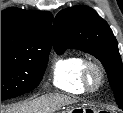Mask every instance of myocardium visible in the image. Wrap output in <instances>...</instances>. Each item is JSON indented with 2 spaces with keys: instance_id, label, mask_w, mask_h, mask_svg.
Listing matches in <instances>:
<instances>
[{
  "instance_id": "myocardium-1",
  "label": "myocardium",
  "mask_w": 123,
  "mask_h": 113,
  "mask_svg": "<svg viewBox=\"0 0 123 113\" xmlns=\"http://www.w3.org/2000/svg\"><path fill=\"white\" fill-rule=\"evenodd\" d=\"M93 77L96 78L95 81ZM82 81L85 89L97 91L104 82V74L101 66L95 61H85L82 68Z\"/></svg>"
}]
</instances>
